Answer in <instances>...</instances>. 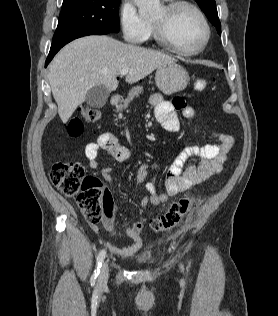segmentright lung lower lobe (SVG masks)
Masks as SVG:
<instances>
[{"mask_svg":"<svg viewBox=\"0 0 278 316\" xmlns=\"http://www.w3.org/2000/svg\"><path fill=\"white\" fill-rule=\"evenodd\" d=\"M105 34H108V33H104V32H97V33H89V34H85V35H81L79 37H82V36H87V35H105ZM79 37H75L73 39H70L68 41H65L59 45H56V46H51L50 48V52H49V55L47 57V60H46V64H45V67L49 64V62L53 59L54 55L67 43H69L70 41L76 39V38H79Z\"/></svg>","mask_w":278,"mask_h":316,"instance_id":"98d812e1","label":"right lung lower lobe"}]
</instances>
